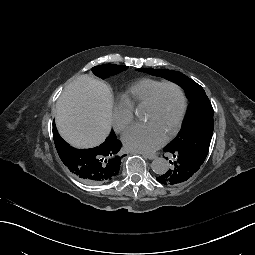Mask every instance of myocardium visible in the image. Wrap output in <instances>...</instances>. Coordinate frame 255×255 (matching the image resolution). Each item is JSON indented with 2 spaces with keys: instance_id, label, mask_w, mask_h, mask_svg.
I'll use <instances>...</instances> for the list:
<instances>
[{
  "instance_id": "myocardium-1",
  "label": "myocardium",
  "mask_w": 255,
  "mask_h": 255,
  "mask_svg": "<svg viewBox=\"0 0 255 255\" xmlns=\"http://www.w3.org/2000/svg\"><path fill=\"white\" fill-rule=\"evenodd\" d=\"M166 86L174 87L180 96V110H179V114H178V117L176 120L175 127H174L173 131L166 137V141H170L178 134V132L182 126V122H183L185 111H186V96H185V93H184L183 89L181 88V86L173 81L161 82L152 91V93L144 107L149 108V109L153 108L156 103V100H157L160 90Z\"/></svg>"
}]
</instances>
